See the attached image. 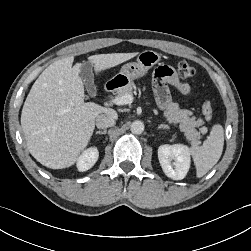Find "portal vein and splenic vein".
<instances>
[{
	"label": "portal vein and splenic vein",
	"instance_id": "1",
	"mask_svg": "<svg viewBox=\"0 0 251 251\" xmlns=\"http://www.w3.org/2000/svg\"><path fill=\"white\" fill-rule=\"evenodd\" d=\"M134 97L130 94L124 95L122 97H115L114 99L110 100V103L115 105H126L131 104L133 102Z\"/></svg>",
	"mask_w": 251,
	"mask_h": 251
}]
</instances>
